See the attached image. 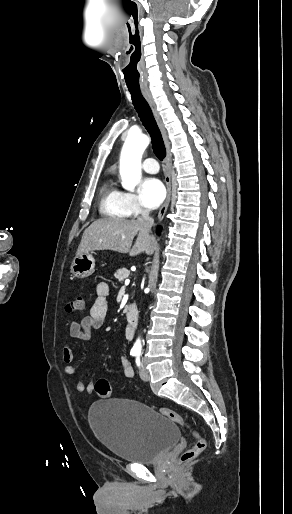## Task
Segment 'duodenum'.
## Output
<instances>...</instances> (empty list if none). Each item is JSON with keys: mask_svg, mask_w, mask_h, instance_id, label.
I'll list each match as a JSON object with an SVG mask.
<instances>
[{"mask_svg": "<svg viewBox=\"0 0 292 514\" xmlns=\"http://www.w3.org/2000/svg\"><path fill=\"white\" fill-rule=\"evenodd\" d=\"M127 313V332L131 333L136 324L138 319V308L135 304H129L126 308Z\"/></svg>", "mask_w": 292, "mask_h": 514, "instance_id": "obj_1", "label": "duodenum"}]
</instances>
